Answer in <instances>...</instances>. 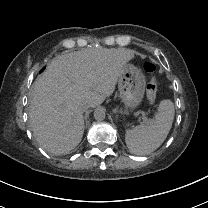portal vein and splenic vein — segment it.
<instances>
[{"label": "portal vein and splenic vein", "mask_w": 208, "mask_h": 208, "mask_svg": "<svg viewBox=\"0 0 208 208\" xmlns=\"http://www.w3.org/2000/svg\"><path fill=\"white\" fill-rule=\"evenodd\" d=\"M120 111H123V108H120ZM136 116H141L143 121L146 122V123L154 124V120L153 119H151V120H147L146 119V116H145L144 112L131 114V117H136Z\"/></svg>", "instance_id": "18ae733b"}]
</instances>
